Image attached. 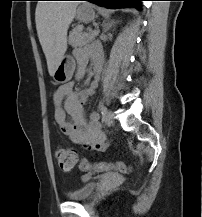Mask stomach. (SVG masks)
<instances>
[{"mask_svg": "<svg viewBox=\"0 0 202 217\" xmlns=\"http://www.w3.org/2000/svg\"><path fill=\"white\" fill-rule=\"evenodd\" d=\"M77 18L83 22H90L95 18V11L90 5H83L78 8ZM75 69L74 61L69 57H63L53 74V79L57 83H66L71 80Z\"/></svg>", "mask_w": 202, "mask_h": 217, "instance_id": "1", "label": "stomach"}]
</instances>
